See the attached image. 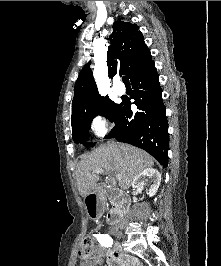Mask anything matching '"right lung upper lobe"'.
<instances>
[{
	"instance_id": "obj_1",
	"label": "right lung upper lobe",
	"mask_w": 221,
	"mask_h": 266,
	"mask_svg": "<svg viewBox=\"0 0 221 266\" xmlns=\"http://www.w3.org/2000/svg\"><path fill=\"white\" fill-rule=\"evenodd\" d=\"M107 65L109 77L117 73L129 78L138 68L152 60L150 50L144 42L142 33L136 24L116 21L113 33L109 37ZM90 61L83 67L75 83L72 102V118L92 110L97 101L102 98L90 69Z\"/></svg>"
}]
</instances>
